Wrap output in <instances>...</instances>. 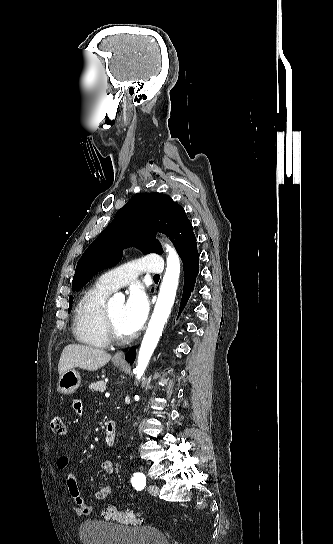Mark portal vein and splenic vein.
Instances as JSON below:
<instances>
[{
  "instance_id": "18ae733b",
  "label": "portal vein and splenic vein",
  "mask_w": 333,
  "mask_h": 544,
  "mask_svg": "<svg viewBox=\"0 0 333 544\" xmlns=\"http://www.w3.org/2000/svg\"><path fill=\"white\" fill-rule=\"evenodd\" d=\"M110 396V393H105V397H109Z\"/></svg>"
}]
</instances>
